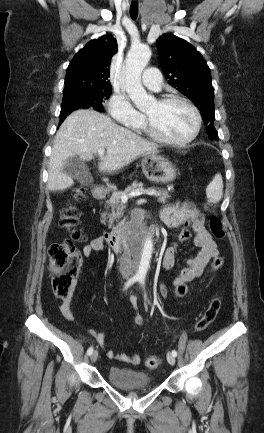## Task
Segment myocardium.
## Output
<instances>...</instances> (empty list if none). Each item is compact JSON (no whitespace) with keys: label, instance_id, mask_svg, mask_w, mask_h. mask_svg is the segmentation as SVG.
Segmentation results:
<instances>
[{"label":"myocardium","instance_id":"obj_1","mask_svg":"<svg viewBox=\"0 0 264 433\" xmlns=\"http://www.w3.org/2000/svg\"><path fill=\"white\" fill-rule=\"evenodd\" d=\"M157 103L160 105H168L172 103H181L188 107L194 115L195 118V126L192 130L191 134L183 140H174L166 135H164L153 123V121L145 114V122L148 129L149 134L155 138L156 140L174 146V147H186L190 143H192L198 136L201 126H202V117L198 110V108L188 99L183 98L181 96H166L157 100Z\"/></svg>","mask_w":264,"mask_h":433}]
</instances>
